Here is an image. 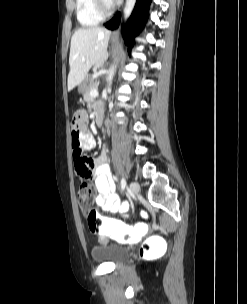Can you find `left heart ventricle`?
I'll list each match as a JSON object with an SVG mask.
<instances>
[{
	"mask_svg": "<svg viewBox=\"0 0 247 304\" xmlns=\"http://www.w3.org/2000/svg\"><path fill=\"white\" fill-rule=\"evenodd\" d=\"M107 6H111L113 2L111 0H104Z\"/></svg>",
	"mask_w": 247,
	"mask_h": 304,
	"instance_id": "b2bd125f",
	"label": "left heart ventricle"
}]
</instances>
